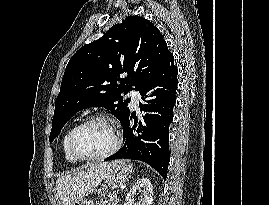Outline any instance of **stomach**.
Returning a JSON list of instances; mask_svg holds the SVG:
<instances>
[{"mask_svg":"<svg viewBox=\"0 0 269 205\" xmlns=\"http://www.w3.org/2000/svg\"><path fill=\"white\" fill-rule=\"evenodd\" d=\"M133 166L129 160H117L109 163L104 173L103 191L114 189L124 184L131 177ZM70 205H93V203L85 198L74 200Z\"/></svg>","mask_w":269,"mask_h":205,"instance_id":"obj_1","label":"stomach"}]
</instances>
